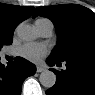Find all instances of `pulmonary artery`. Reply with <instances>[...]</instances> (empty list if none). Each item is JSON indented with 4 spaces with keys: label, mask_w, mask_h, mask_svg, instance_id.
<instances>
[{
    "label": "pulmonary artery",
    "mask_w": 95,
    "mask_h": 95,
    "mask_svg": "<svg viewBox=\"0 0 95 95\" xmlns=\"http://www.w3.org/2000/svg\"><path fill=\"white\" fill-rule=\"evenodd\" d=\"M35 26H36L38 33L42 37H49L53 33V24L49 20L42 21V22H35Z\"/></svg>",
    "instance_id": "pulmonary-artery-1"
}]
</instances>
